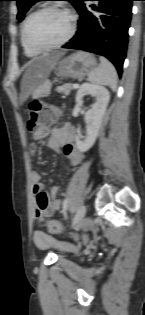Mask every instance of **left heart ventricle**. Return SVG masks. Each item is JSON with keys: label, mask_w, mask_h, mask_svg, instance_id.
Here are the masks:
<instances>
[{"label": "left heart ventricle", "mask_w": 145, "mask_h": 315, "mask_svg": "<svg viewBox=\"0 0 145 315\" xmlns=\"http://www.w3.org/2000/svg\"><path fill=\"white\" fill-rule=\"evenodd\" d=\"M68 27V19L64 15L46 11L31 20L27 35L32 43L49 45L61 40L66 35Z\"/></svg>", "instance_id": "b2bd125f"}]
</instances>
